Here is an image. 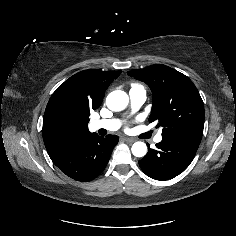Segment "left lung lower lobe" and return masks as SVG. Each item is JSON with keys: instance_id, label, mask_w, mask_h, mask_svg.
<instances>
[{"instance_id": "1", "label": "left lung lower lobe", "mask_w": 236, "mask_h": 236, "mask_svg": "<svg viewBox=\"0 0 236 236\" xmlns=\"http://www.w3.org/2000/svg\"><path fill=\"white\" fill-rule=\"evenodd\" d=\"M202 136L178 135L165 137L139 161L143 172L155 180H168L182 173L192 162Z\"/></svg>"}]
</instances>
